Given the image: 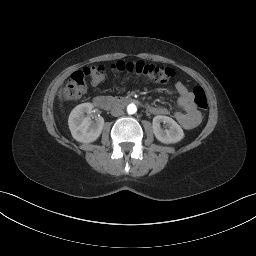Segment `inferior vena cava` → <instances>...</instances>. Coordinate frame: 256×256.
I'll use <instances>...</instances> for the list:
<instances>
[{"label":"inferior vena cava","instance_id":"inferior-vena-cava-1","mask_svg":"<svg viewBox=\"0 0 256 256\" xmlns=\"http://www.w3.org/2000/svg\"><path fill=\"white\" fill-rule=\"evenodd\" d=\"M124 114V111L120 107H115L111 110V115L114 117H118Z\"/></svg>","mask_w":256,"mask_h":256}]
</instances>
